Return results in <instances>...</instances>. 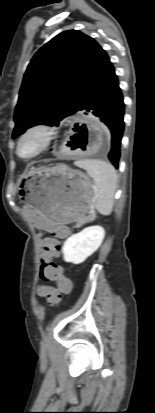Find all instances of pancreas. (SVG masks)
<instances>
[{
    "mask_svg": "<svg viewBox=\"0 0 155 413\" xmlns=\"http://www.w3.org/2000/svg\"><path fill=\"white\" fill-rule=\"evenodd\" d=\"M95 214H91L89 216H86L80 220L77 221V224L75 225V228H79L81 227L83 224L89 222V221H93L95 219Z\"/></svg>",
    "mask_w": 155,
    "mask_h": 413,
    "instance_id": "obj_1",
    "label": "pancreas"
}]
</instances>
